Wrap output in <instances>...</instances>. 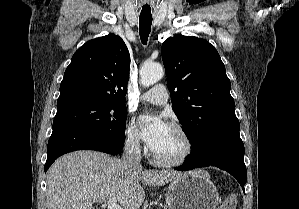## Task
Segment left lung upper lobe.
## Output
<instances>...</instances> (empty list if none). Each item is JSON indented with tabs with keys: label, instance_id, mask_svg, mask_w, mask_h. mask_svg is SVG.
Wrapping results in <instances>:
<instances>
[{
	"label": "left lung upper lobe",
	"instance_id": "5c2ea615",
	"mask_svg": "<svg viewBox=\"0 0 299 209\" xmlns=\"http://www.w3.org/2000/svg\"><path fill=\"white\" fill-rule=\"evenodd\" d=\"M161 52L173 110L195 148L210 129L237 119L230 80L219 53L204 39L170 37Z\"/></svg>",
	"mask_w": 299,
	"mask_h": 209
}]
</instances>
